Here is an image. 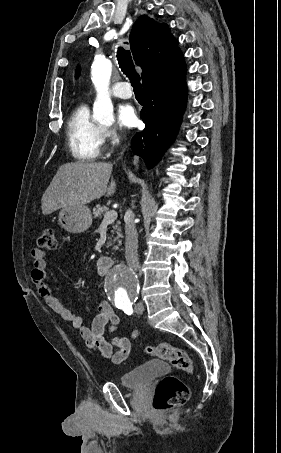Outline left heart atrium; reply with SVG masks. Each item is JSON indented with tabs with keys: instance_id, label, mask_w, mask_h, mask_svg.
<instances>
[{
	"instance_id": "left-heart-atrium-1",
	"label": "left heart atrium",
	"mask_w": 281,
	"mask_h": 453,
	"mask_svg": "<svg viewBox=\"0 0 281 453\" xmlns=\"http://www.w3.org/2000/svg\"><path fill=\"white\" fill-rule=\"evenodd\" d=\"M118 122L128 128L135 127L138 122V115L135 108L130 104L121 105L117 112Z\"/></svg>"
}]
</instances>
